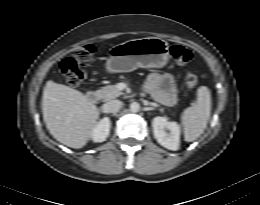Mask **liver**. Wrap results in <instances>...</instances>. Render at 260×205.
Masks as SVG:
<instances>
[{
    "label": "liver",
    "instance_id": "liver-1",
    "mask_svg": "<svg viewBox=\"0 0 260 205\" xmlns=\"http://www.w3.org/2000/svg\"><path fill=\"white\" fill-rule=\"evenodd\" d=\"M42 112L49 133L75 149L86 145L99 118L98 108L86 95L52 80L43 89Z\"/></svg>",
    "mask_w": 260,
    "mask_h": 205
}]
</instances>
